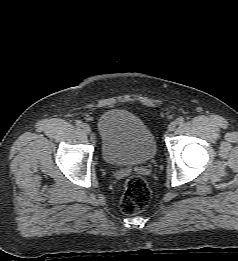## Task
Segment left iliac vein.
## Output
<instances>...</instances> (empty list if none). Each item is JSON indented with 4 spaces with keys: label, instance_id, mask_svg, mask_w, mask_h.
<instances>
[{
    "label": "left iliac vein",
    "instance_id": "1",
    "mask_svg": "<svg viewBox=\"0 0 238 261\" xmlns=\"http://www.w3.org/2000/svg\"><path fill=\"white\" fill-rule=\"evenodd\" d=\"M176 126H177V122H175V121H174V122H171V123L168 125L167 130H168L169 132H172V131L175 130Z\"/></svg>",
    "mask_w": 238,
    "mask_h": 261
}]
</instances>
